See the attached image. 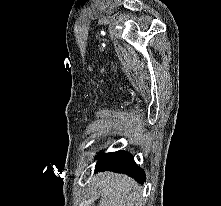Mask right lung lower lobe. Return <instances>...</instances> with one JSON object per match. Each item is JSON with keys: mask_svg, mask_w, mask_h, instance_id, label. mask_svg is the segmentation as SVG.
I'll return each instance as SVG.
<instances>
[{"mask_svg": "<svg viewBox=\"0 0 221 206\" xmlns=\"http://www.w3.org/2000/svg\"><path fill=\"white\" fill-rule=\"evenodd\" d=\"M105 170L127 174L141 184L145 182L144 171L136 165L133 156L125 151L100 153L95 172Z\"/></svg>", "mask_w": 221, "mask_h": 206, "instance_id": "right-lung-lower-lobe-1", "label": "right lung lower lobe"}]
</instances>
